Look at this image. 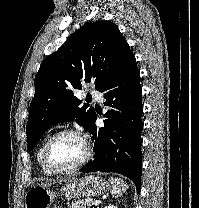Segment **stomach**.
Returning a JSON list of instances; mask_svg holds the SVG:
<instances>
[{
  "label": "stomach",
  "instance_id": "obj_1",
  "mask_svg": "<svg viewBox=\"0 0 199 208\" xmlns=\"http://www.w3.org/2000/svg\"><path fill=\"white\" fill-rule=\"evenodd\" d=\"M109 190V183L95 175L71 179L59 191L51 189L48 185H37L26 193L25 208H50L57 196L64 195L70 199L91 198L105 194Z\"/></svg>",
  "mask_w": 199,
  "mask_h": 208
}]
</instances>
